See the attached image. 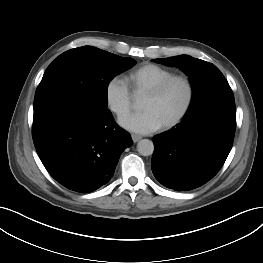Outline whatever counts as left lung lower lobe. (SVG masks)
<instances>
[{
    "mask_svg": "<svg viewBox=\"0 0 263 263\" xmlns=\"http://www.w3.org/2000/svg\"><path fill=\"white\" fill-rule=\"evenodd\" d=\"M236 129L234 101L214 102L168 132L153 137L155 178L175 191L196 189L221 169Z\"/></svg>",
    "mask_w": 263,
    "mask_h": 263,
    "instance_id": "1",
    "label": "left lung lower lobe"
}]
</instances>
